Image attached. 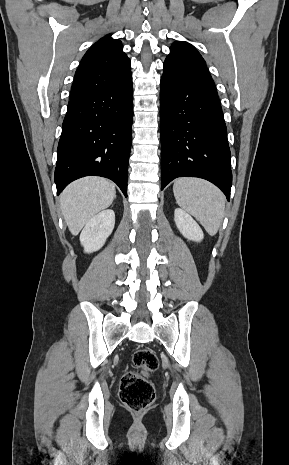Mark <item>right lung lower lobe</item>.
<instances>
[{
  "mask_svg": "<svg viewBox=\"0 0 289 465\" xmlns=\"http://www.w3.org/2000/svg\"><path fill=\"white\" fill-rule=\"evenodd\" d=\"M132 76L120 84L70 99L58 144L57 194L73 180L111 179L127 197L132 142Z\"/></svg>",
  "mask_w": 289,
  "mask_h": 465,
  "instance_id": "1",
  "label": "right lung lower lobe"
}]
</instances>
